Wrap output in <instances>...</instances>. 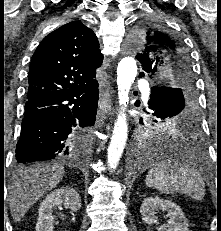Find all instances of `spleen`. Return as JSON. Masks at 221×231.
Here are the masks:
<instances>
[{
	"label": "spleen",
	"mask_w": 221,
	"mask_h": 231,
	"mask_svg": "<svg viewBox=\"0 0 221 231\" xmlns=\"http://www.w3.org/2000/svg\"><path fill=\"white\" fill-rule=\"evenodd\" d=\"M146 184L164 194L181 193L201 201L205 184L201 174L187 162L165 159L156 163L148 172Z\"/></svg>",
	"instance_id": "1"
}]
</instances>
